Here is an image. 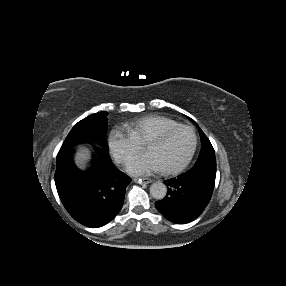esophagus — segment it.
<instances>
[{
	"mask_svg": "<svg viewBox=\"0 0 286 286\" xmlns=\"http://www.w3.org/2000/svg\"><path fill=\"white\" fill-rule=\"evenodd\" d=\"M134 181L138 182L140 184H149L152 182V179H150V178H140V179L135 178Z\"/></svg>",
	"mask_w": 286,
	"mask_h": 286,
	"instance_id": "1",
	"label": "esophagus"
}]
</instances>
